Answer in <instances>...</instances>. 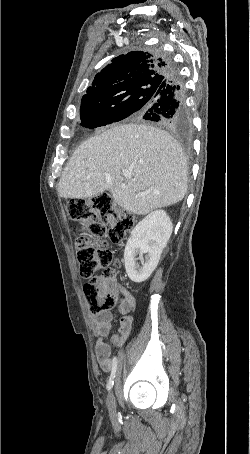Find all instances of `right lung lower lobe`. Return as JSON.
Returning <instances> with one entry per match:
<instances>
[{"instance_id": "1", "label": "right lung lower lobe", "mask_w": 250, "mask_h": 454, "mask_svg": "<svg viewBox=\"0 0 250 454\" xmlns=\"http://www.w3.org/2000/svg\"><path fill=\"white\" fill-rule=\"evenodd\" d=\"M169 63L171 73L159 87L154 102L138 117L159 123L171 130L185 131L190 128L191 119L186 106V91L181 75L172 60Z\"/></svg>"}]
</instances>
